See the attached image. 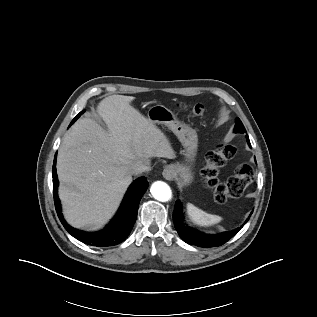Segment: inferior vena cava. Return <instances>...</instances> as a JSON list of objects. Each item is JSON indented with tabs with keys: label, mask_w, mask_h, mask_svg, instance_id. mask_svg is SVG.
Wrapping results in <instances>:
<instances>
[{
	"label": "inferior vena cava",
	"mask_w": 317,
	"mask_h": 317,
	"mask_svg": "<svg viewBox=\"0 0 317 317\" xmlns=\"http://www.w3.org/2000/svg\"><path fill=\"white\" fill-rule=\"evenodd\" d=\"M150 170H151V167L149 166V164L138 162L132 166L130 173L132 175L133 174L137 175V174H141L143 172L150 171Z\"/></svg>",
	"instance_id": "602c4592"
}]
</instances>
